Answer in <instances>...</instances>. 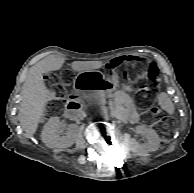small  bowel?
I'll use <instances>...</instances> for the list:
<instances>
[{
	"mask_svg": "<svg viewBox=\"0 0 194 193\" xmlns=\"http://www.w3.org/2000/svg\"><path fill=\"white\" fill-rule=\"evenodd\" d=\"M121 101L125 105V107L127 109V113L129 115V118L131 119V121H133V122L137 121L138 115L135 112V110L133 109L132 103L126 98H122Z\"/></svg>",
	"mask_w": 194,
	"mask_h": 193,
	"instance_id": "c3829d8e",
	"label": "small bowel"
}]
</instances>
